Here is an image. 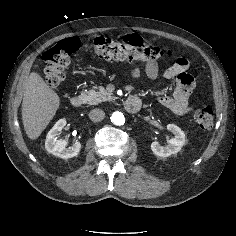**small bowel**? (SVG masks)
Instances as JSON below:
<instances>
[{
    "label": "small bowel",
    "instance_id": "1",
    "mask_svg": "<svg viewBox=\"0 0 236 236\" xmlns=\"http://www.w3.org/2000/svg\"><path fill=\"white\" fill-rule=\"evenodd\" d=\"M126 41L143 44L141 38L136 35H127ZM145 72L150 79L159 77V68L156 61L149 62L145 66ZM131 76L138 79L141 76L139 69L134 68L131 71ZM162 78L164 81L174 79L176 89L173 95H163L159 98V103L170 109L178 115H184L191 110L190 96L194 89V79L189 73V62L185 58H178L175 63L163 72Z\"/></svg>",
    "mask_w": 236,
    "mask_h": 236
}]
</instances>
